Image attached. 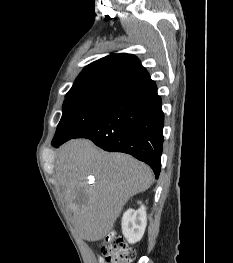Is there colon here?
I'll return each instance as SVG.
<instances>
[{"mask_svg":"<svg viewBox=\"0 0 233 263\" xmlns=\"http://www.w3.org/2000/svg\"><path fill=\"white\" fill-rule=\"evenodd\" d=\"M99 250L101 263H133L136 256L135 250L115 233L106 236Z\"/></svg>","mask_w":233,"mask_h":263,"instance_id":"colon-1","label":"colon"}]
</instances>
